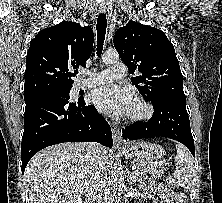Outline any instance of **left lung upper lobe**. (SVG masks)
Here are the masks:
<instances>
[{
	"label": "left lung upper lobe",
	"mask_w": 222,
	"mask_h": 203,
	"mask_svg": "<svg viewBox=\"0 0 222 203\" xmlns=\"http://www.w3.org/2000/svg\"><path fill=\"white\" fill-rule=\"evenodd\" d=\"M113 42L129 72L139 73L131 81L145 99L153 105L168 97L186 99L179 61L163 31L130 21Z\"/></svg>",
	"instance_id": "5c2ea615"
}]
</instances>
